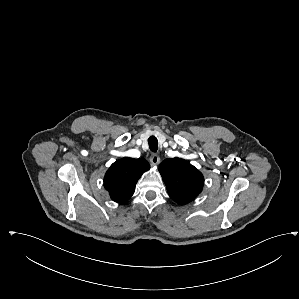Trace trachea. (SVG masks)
I'll return each instance as SVG.
<instances>
[{
  "mask_svg": "<svg viewBox=\"0 0 299 299\" xmlns=\"http://www.w3.org/2000/svg\"><path fill=\"white\" fill-rule=\"evenodd\" d=\"M148 144L152 152H156L158 150V140L155 136H150L148 138Z\"/></svg>",
  "mask_w": 299,
  "mask_h": 299,
  "instance_id": "trachea-1",
  "label": "trachea"
}]
</instances>
